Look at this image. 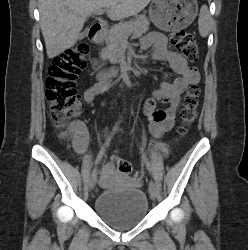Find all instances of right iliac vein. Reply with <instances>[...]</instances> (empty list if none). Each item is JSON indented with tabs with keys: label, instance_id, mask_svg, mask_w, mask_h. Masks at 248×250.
<instances>
[{
	"label": "right iliac vein",
	"instance_id": "right-iliac-vein-1",
	"mask_svg": "<svg viewBox=\"0 0 248 250\" xmlns=\"http://www.w3.org/2000/svg\"><path fill=\"white\" fill-rule=\"evenodd\" d=\"M96 183H97V173L94 172V173H92V176H91L90 181H89V187L91 190L94 189Z\"/></svg>",
	"mask_w": 248,
	"mask_h": 250
}]
</instances>
